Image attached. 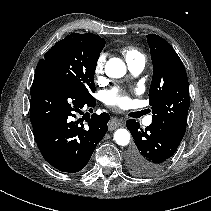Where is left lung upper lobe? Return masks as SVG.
<instances>
[{
	"label": "left lung upper lobe",
	"instance_id": "5c2ea615",
	"mask_svg": "<svg viewBox=\"0 0 211 211\" xmlns=\"http://www.w3.org/2000/svg\"><path fill=\"white\" fill-rule=\"evenodd\" d=\"M147 42L153 63L149 90L152 125L181 142L190 105L189 83L184 65L171 45L160 36L149 34Z\"/></svg>",
	"mask_w": 211,
	"mask_h": 211
}]
</instances>
